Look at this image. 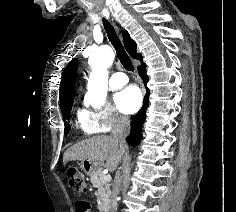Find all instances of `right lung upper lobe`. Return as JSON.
Returning a JSON list of instances; mask_svg holds the SVG:
<instances>
[{
  "label": "right lung upper lobe",
  "mask_w": 236,
  "mask_h": 212,
  "mask_svg": "<svg viewBox=\"0 0 236 212\" xmlns=\"http://www.w3.org/2000/svg\"><path fill=\"white\" fill-rule=\"evenodd\" d=\"M123 41L126 50L132 58L142 60L140 53L136 52V43L130 38L126 30L123 31ZM78 61L74 58L65 68L60 84V104L64 101L74 98L75 82L77 76Z\"/></svg>",
  "instance_id": "right-lung-upper-lobe-1"
}]
</instances>
